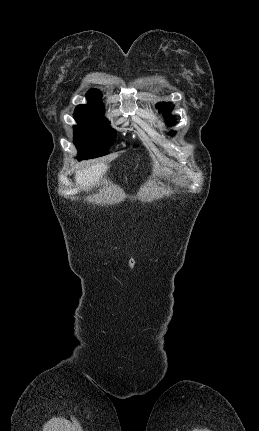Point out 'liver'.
Wrapping results in <instances>:
<instances>
[{
	"label": "liver",
	"instance_id": "6515ba94",
	"mask_svg": "<svg viewBox=\"0 0 259 431\" xmlns=\"http://www.w3.org/2000/svg\"><path fill=\"white\" fill-rule=\"evenodd\" d=\"M107 168V164L100 163L78 171L75 175L76 184L86 189L94 186L103 176ZM162 171L166 174L170 172L167 168H163Z\"/></svg>",
	"mask_w": 259,
	"mask_h": 431
}]
</instances>
